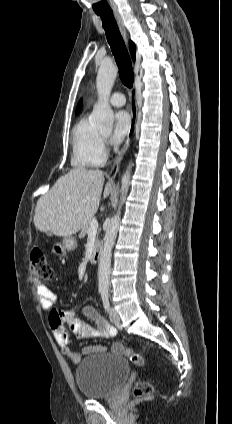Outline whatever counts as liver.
I'll return each instance as SVG.
<instances>
[{
  "label": "liver",
  "mask_w": 232,
  "mask_h": 424,
  "mask_svg": "<svg viewBox=\"0 0 232 424\" xmlns=\"http://www.w3.org/2000/svg\"><path fill=\"white\" fill-rule=\"evenodd\" d=\"M104 185L103 171L76 167L60 177L37 202L34 225L42 232L69 237L83 229L98 210ZM111 183L103 197L111 192Z\"/></svg>",
  "instance_id": "1"
}]
</instances>
